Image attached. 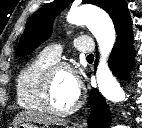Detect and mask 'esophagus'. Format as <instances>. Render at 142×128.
Segmentation results:
<instances>
[{
    "instance_id": "obj_1",
    "label": "esophagus",
    "mask_w": 142,
    "mask_h": 128,
    "mask_svg": "<svg viewBox=\"0 0 142 128\" xmlns=\"http://www.w3.org/2000/svg\"><path fill=\"white\" fill-rule=\"evenodd\" d=\"M77 128H84L82 124H77Z\"/></svg>"
}]
</instances>
